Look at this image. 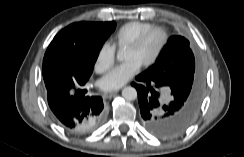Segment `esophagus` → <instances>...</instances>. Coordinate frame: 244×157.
<instances>
[{"mask_svg": "<svg viewBox=\"0 0 244 157\" xmlns=\"http://www.w3.org/2000/svg\"><path fill=\"white\" fill-rule=\"evenodd\" d=\"M117 92H118L117 90H116V91H111V92L106 93L105 95H106L107 98H111V97H113Z\"/></svg>", "mask_w": 244, "mask_h": 157, "instance_id": "34e87169", "label": "esophagus"}]
</instances>
